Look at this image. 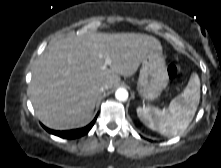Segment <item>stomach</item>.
<instances>
[{
	"label": "stomach",
	"instance_id": "1",
	"mask_svg": "<svg viewBox=\"0 0 221 168\" xmlns=\"http://www.w3.org/2000/svg\"><path fill=\"white\" fill-rule=\"evenodd\" d=\"M169 77L162 52H152L142 60L137 91L147 100H154L167 87Z\"/></svg>",
	"mask_w": 221,
	"mask_h": 168
}]
</instances>
